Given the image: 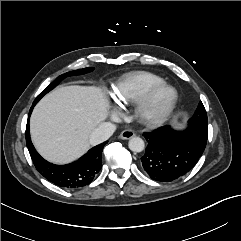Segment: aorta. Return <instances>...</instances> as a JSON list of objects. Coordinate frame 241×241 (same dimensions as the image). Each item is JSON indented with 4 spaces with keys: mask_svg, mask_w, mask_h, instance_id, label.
I'll use <instances>...</instances> for the list:
<instances>
[{
    "mask_svg": "<svg viewBox=\"0 0 241 241\" xmlns=\"http://www.w3.org/2000/svg\"><path fill=\"white\" fill-rule=\"evenodd\" d=\"M129 149L133 152H141L144 150L145 143L140 137H132L128 143Z\"/></svg>",
    "mask_w": 241,
    "mask_h": 241,
    "instance_id": "762f6f07",
    "label": "aorta"
}]
</instances>
